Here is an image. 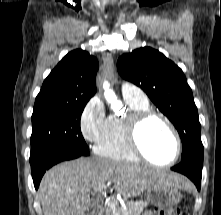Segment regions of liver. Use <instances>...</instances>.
I'll return each mask as SVG.
<instances>
[{
  "label": "liver",
  "instance_id": "liver-1",
  "mask_svg": "<svg viewBox=\"0 0 221 215\" xmlns=\"http://www.w3.org/2000/svg\"><path fill=\"white\" fill-rule=\"evenodd\" d=\"M106 182L114 183L125 198L136 197L155 184L190 186L176 173L104 158H79L58 164L43 176L38 190L43 214L86 215L90 193L102 190Z\"/></svg>",
  "mask_w": 221,
  "mask_h": 215
}]
</instances>
